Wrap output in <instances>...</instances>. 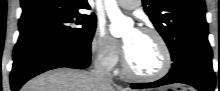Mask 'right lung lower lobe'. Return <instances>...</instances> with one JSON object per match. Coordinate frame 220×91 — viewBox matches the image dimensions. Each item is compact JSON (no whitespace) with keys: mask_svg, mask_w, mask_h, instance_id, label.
<instances>
[{"mask_svg":"<svg viewBox=\"0 0 220 91\" xmlns=\"http://www.w3.org/2000/svg\"><path fill=\"white\" fill-rule=\"evenodd\" d=\"M90 57V45L73 46L47 34H20L13 52L11 89L18 91L26 81L50 69H84L90 65Z\"/></svg>","mask_w":220,"mask_h":91,"instance_id":"right-lung-lower-lobe-1","label":"right lung lower lobe"}]
</instances>
